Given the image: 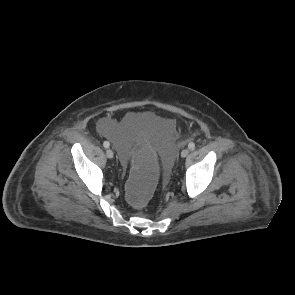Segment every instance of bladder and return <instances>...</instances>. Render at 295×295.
Instances as JSON below:
<instances>
[{
	"mask_svg": "<svg viewBox=\"0 0 295 295\" xmlns=\"http://www.w3.org/2000/svg\"><path fill=\"white\" fill-rule=\"evenodd\" d=\"M98 128L117 144L115 149L122 169L131 167L132 144L140 138H147L159 151L163 174L168 177L174 174L175 161L169 148V140L174 132L171 119L151 112L129 113L119 123L104 118L99 121Z\"/></svg>",
	"mask_w": 295,
	"mask_h": 295,
	"instance_id": "obj_1",
	"label": "bladder"
}]
</instances>
